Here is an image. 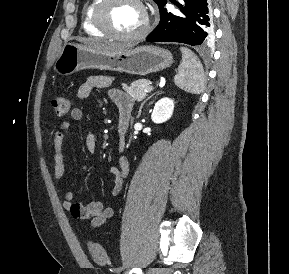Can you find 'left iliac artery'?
Here are the masks:
<instances>
[{
  "mask_svg": "<svg viewBox=\"0 0 289 274\" xmlns=\"http://www.w3.org/2000/svg\"><path fill=\"white\" fill-rule=\"evenodd\" d=\"M115 270H118V271H120V270H122V269H121V267H119V268H116Z\"/></svg>",
  "mask_w": 289,
  "mask_h": 274,
  "instance_id": "obj_1",
  "label": "left iliac artery"
}]
</instances>
